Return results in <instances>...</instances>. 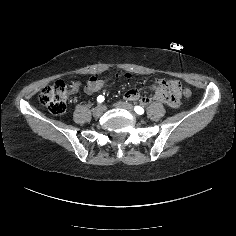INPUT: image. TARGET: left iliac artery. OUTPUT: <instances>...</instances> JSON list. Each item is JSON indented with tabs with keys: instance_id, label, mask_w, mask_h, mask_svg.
Wrapping results in <instances>:
<instances>
[{
	"instance_id": "obj_1",
	"label": "left iliac artery",
	"mask_w": 236,
	"mask_h": 236,
	"mask_svg": "<svg viewBox=\"0 0 236 236\" xmlns=\"http://www.w3.org/2000/svg\"><path fill=\"white\" fill-rule=\"evenodd\" d=\"M134 111L139 115H142L144 113V109L140 106H135Z\"/></svg>"
}]
</instances>
